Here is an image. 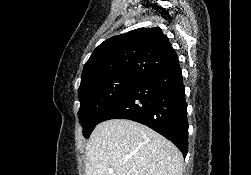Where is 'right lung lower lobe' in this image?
<instances>
[{
    "mask_svg": "<svg viewBox=\"0 0 251 175\" xmlns=\"http://www.w3.org/2000/svg\"><path fill=\"white\" fill-rule=\"evenodd\" d=\"M144 124L188 151L187 105L179 64L151 74L131 87L100 117Z\"/></svg>",
    "mask_w": 251,
    "mask_h": 175,
    "instance_id": "right-lung-lower-lobe-1",
    "label": "right lung lower lobe"
}]
</instances>
